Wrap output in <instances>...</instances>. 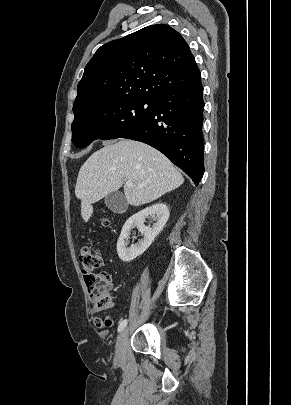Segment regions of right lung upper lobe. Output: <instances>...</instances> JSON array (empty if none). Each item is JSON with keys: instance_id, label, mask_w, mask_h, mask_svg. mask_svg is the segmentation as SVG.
I'll use <instances>...</instances> for the list:
<instances>
[{"instance_id": "obj_1", "label": "right lung upper lobe", "mask_w": 291, "mask_h": 405, "mask_svg": "<svg viewBox=\"0 0 291 405\" xmlns=\"http://www.w3.org/2000/svg\"><path fill=\"white\" fill-rule=\"evenodd\" d=\"M200 76L190 48L166 24L145 27L101 46L78 83L73 112L123 97L154 99Z\"/></svg>"}]
</instances>
